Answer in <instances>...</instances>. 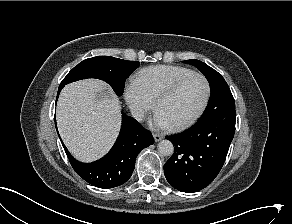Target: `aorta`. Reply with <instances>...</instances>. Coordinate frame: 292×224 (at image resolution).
I'll use <instances>...</instances> for the list:
<instances>
[{
    "label": "aorta",
    "mask_w": 292,
    "mask_h": 224,
    "mask_svg": "<svg viewBox=\"0 0 292 224\" xmlns=\"http://www.w3.org/2000/svg\"><path fill=\"white\" fill-rule=\"evenodd\" d=\"M159 154L163 156H171L174 153V146L169 140H162L157 146Z\"/></svg>",
    "instance_id": "aorta-1"
}]
</instances>
